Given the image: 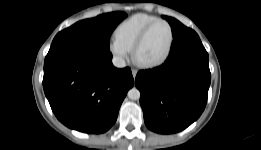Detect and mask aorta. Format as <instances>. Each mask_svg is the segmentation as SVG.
<instances>
[{
	"label": "aorta",
	"instance_id": "aorta-1",
	"mask_svg": "<svg viewBox=\"0 0 261 150\" xmlns=\"http://www.w3.org/2000/svg\"><path fill=\"white\" fill-rule=\"evenodd\" d=\"M127 95L131 100H138L140 98V91L137 88H132L128 91Z\"/></svg>",
	"mask_w": 261,
	"mask_h": 150
}]
</instances>
